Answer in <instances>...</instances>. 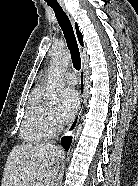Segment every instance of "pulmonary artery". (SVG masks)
Masks as SVG:
<instances>
[{"label": "pulmonary artery", "instance_id": "1", "mask_svg": "<svg viewBox=\"0 0 138 186\" xmlns=\"http://www.w3.org/2000/svg\"><path fill=\"white\" fill-rule=\"evenodd\" d=\"M64 80L69 85L77 84V77L73 72H68L64 75Z\"/></svg>", "mask_w": 138, "mask_h": 186}]
</instances>
